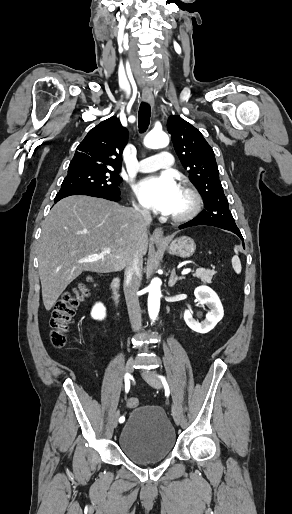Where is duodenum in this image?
I'll list each match as a JSON object with an SVG mask.
<instances>
[{
	"label": "duodenum",
	"mask_w": 292,
	"mask_h": 514,
	"mask_svg": "<svg viewBox=\"0 0 292 514\" xmlns=\"http://www.w3.org/2000/svg\"><path fill=\"white\" fill-rule=\"evenodd\" d=\"M121 280L118 277L112 279L110 284V306L113 310L114 319L118 320L120 318V310H119V287Z\"/></svg>",
	"instance_id": "410a0bca"
}]
</instances>
